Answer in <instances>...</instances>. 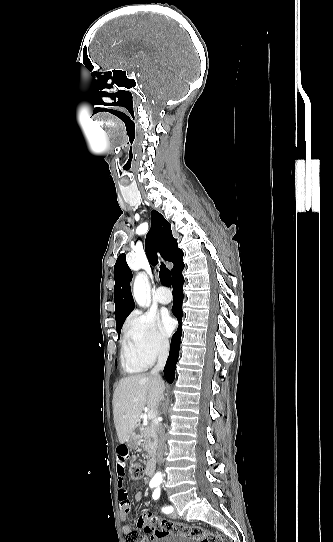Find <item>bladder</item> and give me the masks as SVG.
Masks as SVG:
<instances>
[{"instance_id":"1","label":"bladder","mask_w":333,"mask_h":542,"mask_svg":"<svg viewBox=\"0 0 333 542\" xmlns=\"http://www.w3.org/2000/svg\"><path fill=\"white\" fill-rule=\"evenodd\" d=\"M148 542H197L195 539L189 538L181 534H165L155 539H150Z\"/></svg>"}]
</instances>
